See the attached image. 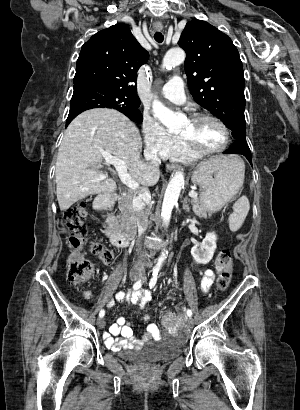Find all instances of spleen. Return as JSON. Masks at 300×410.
<instances>
[{"instance_id":"1","label":"spleen","mask_w":300,"mask_h":410,"mask_svg":"<svg viewBox=\"0 0 300 410\" xmlns=\"http://www.w3.org/2000/svg\"><path fill=\"white\" fill-rule=\"evenodd\" d=\"M245 167L243 166V171ZM250 209L249 200L246 196L240 197L233 205V213L229 216V228L236 232L243 224Z\"/></svg>"}]
</instances>
